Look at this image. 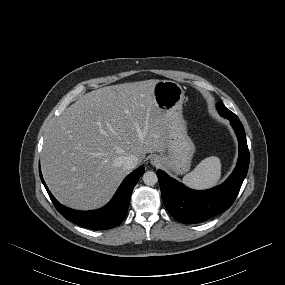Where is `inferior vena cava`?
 <instances>
[{"mask_svg":"<svg viewBox=\"0 0 285 285\" xmlns=\"http://www.w3.org/2000/svg\"><path fill=\"white\" fill-rule=\"evenodd\" d=\"M138 164L137 157L133 154L127 155L123 158V165L126 169L132 170Z\"/></svg>","mask_w":285,"mask_h":285,"instance_id":"1","label":"inferior vena cava"}]
</instances>
